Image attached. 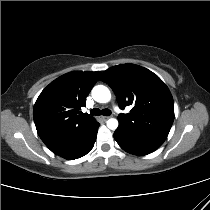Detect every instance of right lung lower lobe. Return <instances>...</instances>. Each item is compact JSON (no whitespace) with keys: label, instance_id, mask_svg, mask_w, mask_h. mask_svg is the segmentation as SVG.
Here are the masks:
<instances>
[{"label":"right lung lower lobe","instance_id":"98d812e1","mask_svg":"<svg viewBox=\"0 0 210 210\" xmlns=\"http://www.w3.org/2000/svg\"><path fill=\"white\" fill-rule=\"evenodd\" d=\"M98 128L99 123H97L92 131L89 132L87 135L78 138L67 148L61 150L56 154L69 160L77 159L86 155L94 146Z\"/></svg>","mask_w":210,"mask_h":210}]
</instances>
